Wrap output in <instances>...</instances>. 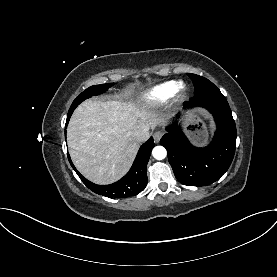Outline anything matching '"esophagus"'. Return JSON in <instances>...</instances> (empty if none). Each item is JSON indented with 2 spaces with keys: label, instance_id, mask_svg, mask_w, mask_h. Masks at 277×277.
<instances>
[{
  "label": "esophagus",
  "instance_id": "34e87169",
  "mask_svg": "<svg viewBox=\"0 0 277 277\" xmlns=\"http://www.w3.org/2000/svg\"><path fill=\"white\" fill-rule=\"evenodd\" d=\"M163 136V132L161 131H156L154 134H153V138H154V141L156 143H158L161 139V137Z\"/></svg>",
  "mask_w": 277,
  "mask_h": 277
}]
</instances>
